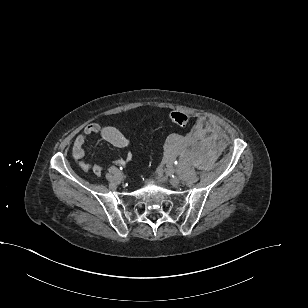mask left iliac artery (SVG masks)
I'll return each instance as SVG.
<instances>
[{
	"label": "left iliac artery",
	"instance_id": "obj_1",
	"mask_svg": "<svg viewBox=\"0 0 308 308\" xmlns=\"http://www.w3.org/2000/svg\"><path fill=\"white\" fill-rule=\"evenodd\" d=\"M174 163H175L176 165L178 164V162H177V161H175Z\"/></svg>",
	"mask_w": 308,
	"mask_h": 308
}]
</instances>
